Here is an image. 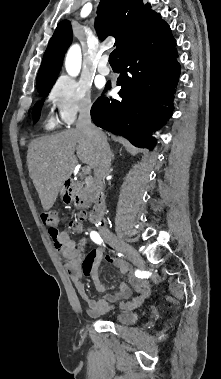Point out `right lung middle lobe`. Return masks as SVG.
<instances>
[{"label":"right lung middle lobe","instance_id":"1","mask_svg":"<svg viewBox=\"0 0 221 379\" xmlns=\"http://www.w3.org/2000/svg\"><path fill=\"white\" fill-rule=\"evenodd\" d=\"M52 86L53 85L45 86V87L39 88L37 90H38V92H39V94L41 96H47L48 93L50 92ZM42 105H43V100L39 101V102H37L35 104V106L33 108V118H34V120H38L39 119Z\"/></svg>","mask_w":221,"mask_h":379}]
</instances>
